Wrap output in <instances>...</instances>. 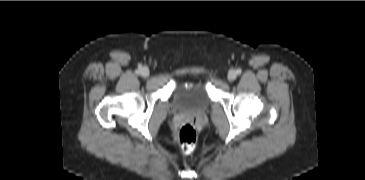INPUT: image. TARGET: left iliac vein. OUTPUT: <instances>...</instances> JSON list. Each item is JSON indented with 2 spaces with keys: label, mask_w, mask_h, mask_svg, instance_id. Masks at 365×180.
Instances as JSON below:
<instances>
[{
  "label": "left iliac vein",
  "mask_w": 365,
  "mask_h": 180,
  "mask_svg": "<svg viewBox=\"0 0 365 180\" xmlns=\"http://www.w3.org/2000/svg\"><path fill=\"white\" fill-rule=\"evenodd\" d=\"M236 77H237V72L235 70L232 69L228 72L229 81H234L236 79Z\"/></svg>",
  "instance_id": "4c4485c4"
}]
</instances>
